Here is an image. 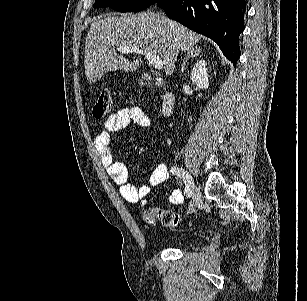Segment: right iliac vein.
I'll list each match as a JSON object with an SVG mask.
<instances>
[{"instance_id": "63e3f726", "label": "right iliac vein", "mask_w": 307, "mask_h": 301, "mask_svg": "<svg viewBox=\"0 0 307 301\" xmlns=\"http://www.w3.org/2000/svg\"><path fill=\"white\" fill-rule=\"evenodd\" d=\"M187 186L189 187V190H191V205L189 209V213H193L196 209V207L200 204V198H201V192L196 187L195 182L191 176L188 175L187 178Z\"/></svg>"}]
</instances>
